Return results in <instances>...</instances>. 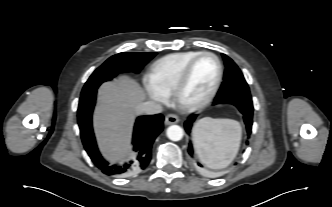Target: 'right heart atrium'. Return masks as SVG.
Segmentation results:
<instances>
[{
  "label": "right heart atrium",
  "mask_w": 332,
  "mask_h": 207,
  "mask_svg": "<svg viewBox=\"0 0 332 207\" xmlns=\"http://www.w3.org/2000/svg\"><path fill=\"white\" fill-rule=\"evenodd\" d=\"M148 93L151 96V98L161 103L165 102L167 99L166 96L162 95L161 93L157 92L155 89L151 87L148 88Z\"/></svg>",
  "instance_id": "obj_1"
}]
</instances>
